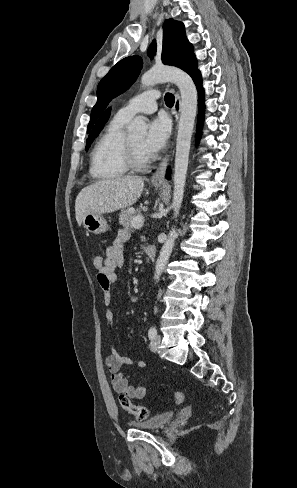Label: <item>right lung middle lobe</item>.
I'll list each match as a JSON object with an SVG mask.
<instances>
[{"instance_id":"right-lung-middle-lobe-1","label":"right lung middle lobe","mask_w":297,"mask_h":488,"mask_svg":"<svg viewBox=\"0 0 297 488\" xmlns=\"http://www.w3.org/2000/svg\"><path fill=\"white\" fill-rule=\"evenodd\" d=\"M100 130H101V128L98 130V132L94 136H92V137H90V138L87 139V142H86V150L89 149V147H90L93 139L98 136V134L100 133Z\"/></svg>"}]
</instances>
